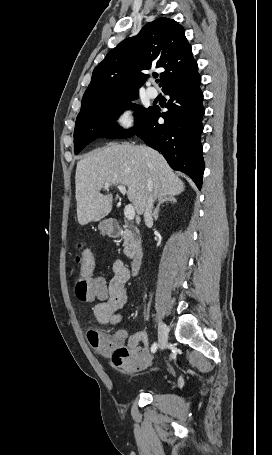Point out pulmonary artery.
<instances>
[{
    "label": "pulmonary artery",
    "instance_id": "1",
    "mask_svg": "<svg viewBox=\"0 0 272 455\" xmlns=\"http://www.w3.org/2000/svg\"><path fill=\"white\" fill-rule=\"evenodd\" d=\"M146 92H147V95L152 99H154L158 96L157 89L152 86H148Z\"/></svg>",
    "mask_w": 272,
    "mask_h": 455
}]
</instances>
